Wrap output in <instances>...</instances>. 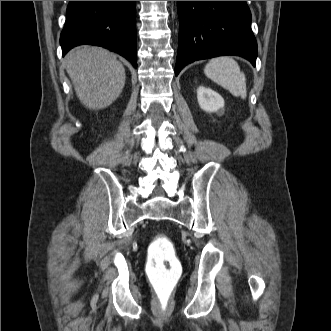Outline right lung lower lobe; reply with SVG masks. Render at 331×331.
Masks as SVG:
<instances>
[{"instance_id":"98d812e1","label":"right lung lower lobe","mask_w":331,"mask_h":331,"mask_svg":"<svg viewBox=\"0 0 331 331\" xmlns=\"http://www.w3.org/2000/svg\"><path fill=\"white\" fill-rule=\"evenodd\" d=\"M136 1H69L61 33L63 56L89 44L110 49L137 67Z\"/></svg>"}]
</instances>
